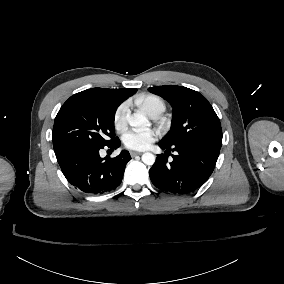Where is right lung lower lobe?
Masks as SVG:
<instances>
[{"mask_svg": "<svg viewBox=\"0 0 284 284\" xmlns=\"http://www.w3.org/2000/svg\"><path fill=\"white\" fill-rule=\"evenodd\" d=\"M119 138L106 146L77 147L56 154L57 161L66 179L87 194H104L114 191L123 178L125 166L131 159L128 151L118 156L101 158L99 150L104 147L117 149Z\"/></svg>", "mask_w": 284, "mask_h": 284, "instance_id": "1", "label": "right lung lower lobe"}]
</instances>
